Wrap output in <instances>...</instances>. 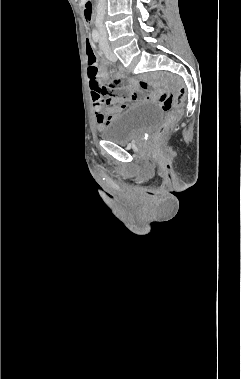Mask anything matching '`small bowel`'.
I'll return each instance as SVG.
<instances>
[{"instance_id":"small-bowel-1","label":"small bowel","mask_w":241,"mask_h":379,"mask_svg":"<svg viewBox=\"0 0 241 379\" xmlns=\"http://www.w3.org/2000/svg\"><path fill=\"white\" fill-rule=\"evenodd\" d=\"M87 40L92 44L90 39ZM97 76L103 82L107 81V74L104 70H100ZM97 82L101 86H105L112 90V93L109 95H100L95 89H91L95 121L98 128H103V126L108 124L116 114L127 108V101H152L156 98L154 94H148L142 98L140 97L139 91H145L148 88V82L146 80H130L126 86L117 89L105 83Z\"/></svg>"}]
</instances>
